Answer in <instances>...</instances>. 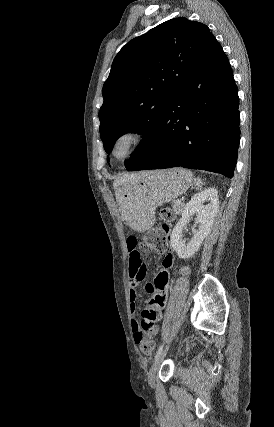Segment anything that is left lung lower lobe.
<instances>
[{
	"label": "left lung lower lobe",
	"instance_id": "0a47b994",
	"mask_svg": "<svg viewBox=\"0 0 274 427\" xmlns=\"http://www.w3.org/2000/svg\"><path fill=\"white\" fill-rule=\"evenodd\" d=\"M239 98L229 61L214 38L168 107L150 148L128 171L185 167L234 176Z\"/></svg>",
	"mask_w": 274,
	"mask_h": 427
}]
</instances>
